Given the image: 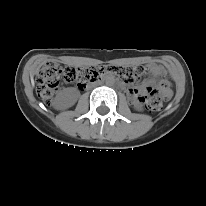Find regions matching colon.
<instances>
[{"mask_svg":"<svg viewBox=\"0 0 206 206\" xmlns=\"http://www.w3.org/2000/svg\"><path fill=\"white\" fill-rule=\"evenodd\" d=\"M146 72L142 66L135 68L108 67L96 69L93 67H62L57 63H46L38 71L37 94L40 99L49 104L61 82L74 83L84 89L88 83L99 79L102 73H113L122 77L126 82H133L141 78ZM171 96V90L167 81H162L158 86L149 85L146 88V95L140 100L146 104L151 111H159L162 107V100Z\"/></svg>","mask_w":206,"mask_h":206,"instance_id":"colon-1","label":"colon"}]
</instances>
